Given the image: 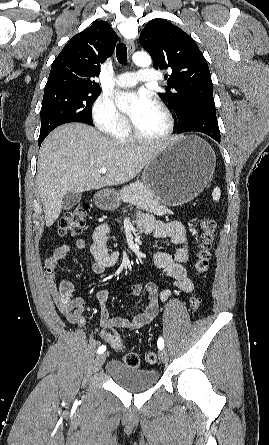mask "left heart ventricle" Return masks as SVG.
Listing matches in <instances>:
<instances>
[{
    "mask_svg": "<svg viewBox=\"0 0 269 445\" xmlns=\"http://www.w3.org/2000/svg\"><path fill=\"white\" fill-rule=\"evenodd\" d=\"M135 107L133 106L129 114L137 129L145 136L155 137L162 134L166 128V119L160 109L154 104L149 110L134 117Z\"/></svg>",
    "mask_w": 269,
    "mask_h": 445,
    "instance_id": "b2bd125f",
    "label": "left heart ventricle"
}]
</instances>
